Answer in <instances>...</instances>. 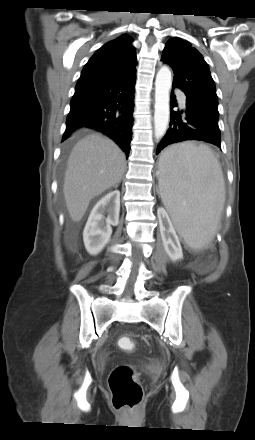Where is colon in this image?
<instances>
[{
    "label": "colon",
    "instance_id": "colon-1",
    "mask_svg": "<svg viewBox=\"0 0 255 440\" xmlns=\"http://www.w3.org/2000/svg\"><path fill=\"white\" fill-rule=\"evenodd\" d=\"M122 350L131 351L135 348L130 336H121L117 340ZM109 389L114 408L135 409L143 398V390L136 370L130 365L116 366L109 376Z\"/></svg>",
    "mask_w": 255,
    "mask_h": 440
}]
</instances>
